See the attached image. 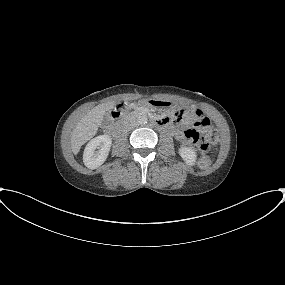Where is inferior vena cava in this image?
<instances>
[{
	"mask_svg": "<svg viewBox=\"0 0 285 285\" xmlns=\"http://www.w3.org/2000/svg\"><path fill=\"white\" fill-rule=\"evenodd\" d=\"M136 125H137L136 122L129 123V124H127V125L125 126V130H126V131H129V130L135 128Z\"/></svg>",
	"mask_w": 285,
	"mask_h": 285,
	"instance_id": "1",
	"label": "inferior vena cava"
}]
</instances>
